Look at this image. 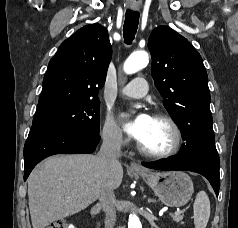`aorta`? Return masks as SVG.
Returning <instances> with one entry per match:
<instances>
[{"mask_svg":"<svg viewBox=\"0 0 238 228\" xmlns=\"http://www.w3.org/2000/svg\"><path fill=\"white\" fill-rule=\"evenodd\" d=\"M149 55L146 51L133 52L125 61L123 69L126 74H133L147 66ZM128 228H142L141 221L136 214H130Z\"/></svg>","mask_w":238,"mask_h":228,"instance_id":"aorta-1","label":"aorta"}]
</instances>
